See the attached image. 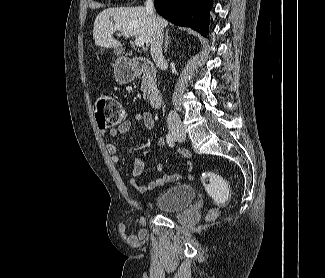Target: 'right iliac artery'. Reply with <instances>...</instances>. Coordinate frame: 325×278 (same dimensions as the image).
<instances>
[{
    "label": "right iliac artery",
    "mask_w": 325,
    "mask_h": 278,
    "mask_svg": "<svg viewBox=\"0 0 325 278\" xmlns=\"http://www.w3.org/2000/svg\"><path fill=\"white\" fill-rule=\"evenodd\" d=\"M166 141H167V143H168V145H169L170 147H174V145H175V140H174V138H173V136H172L171 133H168V134H167V136H166Z\"/></svg>",
    "instance_id": "1"
}]
</instances>
